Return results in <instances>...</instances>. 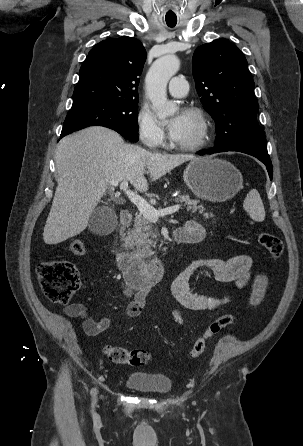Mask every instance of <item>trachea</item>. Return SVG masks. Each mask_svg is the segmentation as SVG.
Wrapping results in <instances>:
<instances>
[{"mask_svg":"<svg viewBox=\"0 0 303 446\" xmlns=\"http://www.w3.org/2000/svg\"><path fill=\"white\" fill-rule=\"evenodd\" d=\"M167 25H168L169 27H174V26H175V24H169V23H167Z\"/></svg>","mask_w":303,"mask_h":446,"instance_id":"3493384b","label":"trachea"}]
</instances>
